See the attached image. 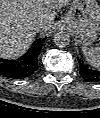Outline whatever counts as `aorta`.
Listing matches in <instances>:
<instances>
[{
	"instance_id": "obj_1",
	"label": "aorta",
	"mask_w": 100,
	"mask_h": 118,
	"mask_svg": "<svg viewBox=\"0 0 100 118\" xmlns=\"http://www.w3.org/2000/svg\"><path fill=\"white\" fill-rule=\"evenodd\" d=\"M54 43L59 48H65L70 44V35L60 31L54 35Z\"/></svg>"
}]
</instances>
